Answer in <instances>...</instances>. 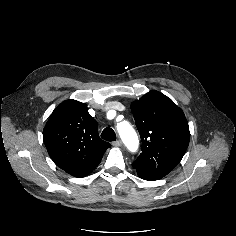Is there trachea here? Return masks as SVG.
<instances>
[{
    "instance_id": "trachea-1",
    "label": "trachea",
    "mask_w": 236,
    "mask_h": 236,
    "mask_svg": "<svg viewBox=\"0 0 236 236\" xmlns=\"http://www.w3.org/2000/svg\"><path fill=\"white\" fill-rule=\"evenodd\" d=\"M101 138L110 142L115 141L116 140L115 131L112 128H105L101 133Z\"/></svg>"
}]
</instances>
